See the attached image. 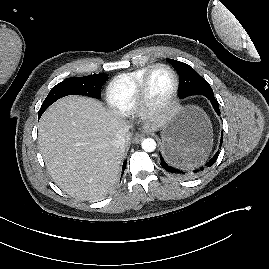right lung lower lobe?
Wrapping results in <instances>:
<instances>
[{
    "label": "right lung lower lobe",
    "instance_id": "98d812e1",
    "mask_svg": "<svg viewBox=\"0 0 269 269\" xmlns=\"http://www.w3.org/2000/svg\"><path fill=\"white\" fill-rule=\"evenodd\" d=\"M126 163H127V160H126V161H124V163H123V167H122V169H123V170H125ZM123 172H124V171H123ZM123 172H122V174H123Z\"/></svg>",
    "mask_w": 269,
    "mask_h": 269
}]
</instances>
